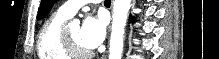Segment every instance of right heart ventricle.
Wrapping results in <instances>:
<instances>
[{"label":"right heart ventricle","mask_w":219,"mask_h":59,"mask_svg":"<svg viewBox=\"0 0 219 59\" xmlns=\"http://www.w3.org/2000/svg\"><path fill=\"white\" fill-rule=\"evenodd\" d=\"M68 18L56 11L45 21L37 39L39 59H72L65 51L62 41V31Z\"/></svg>","instance_id":"e07e8e85"}]
</instances>
